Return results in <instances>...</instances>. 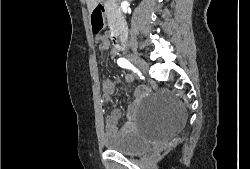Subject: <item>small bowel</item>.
I'll return each mask as SVG.
<instances>
[{
  "label": "small bowel",
  "instance_id": "small-bowel-1",
  "mask_svg": "<svg viewBox=\"0 0 250 169\" xmlns=\"http://www.w3.org/2000/svg\"><path fill=\"white\" fill-rule=\"evenodd\" d=\"M96 42L99 44L101 50H108L110 47L109 37L104 34H100L96 37ZM136 80V76L132 73H128L123 77V81L126 83H133ZM116 82L110 78L103 81V97L105 101H112L115 92ZM147 94V89L144 86H139L134 90L135 100L131 104L128 110L129 122L122 126L121 132L131 133L135 130L134 116L135 112L140 106L142 99ZM121 117L120 109H113L108 119L106 120V130L109 134H113L118 131L117 123Z\"/></svg>",
  "mask_w": 250,
  "mask_h": 169
}]
</instances>
